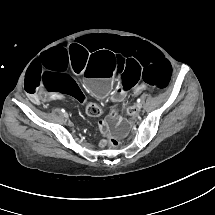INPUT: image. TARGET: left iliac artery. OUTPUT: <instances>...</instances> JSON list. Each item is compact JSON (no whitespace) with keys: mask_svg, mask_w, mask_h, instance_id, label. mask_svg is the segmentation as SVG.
Here are the masks:
<instances>
[{"mask_svg":"<svg viewBox=\"0 0 215 215\" xmlns=\"http://www.w3.org/2000/svg\"><path fill=\"white\" fill-rule=\"evenodd\" d=\"M137 103H138V105L142 106V104H141V99H140V98L137 99Z\"/></svg>","mask_w":215,"mask_h":215,"instance_id":"1","label":"left iliac artery"}]
</instances>
